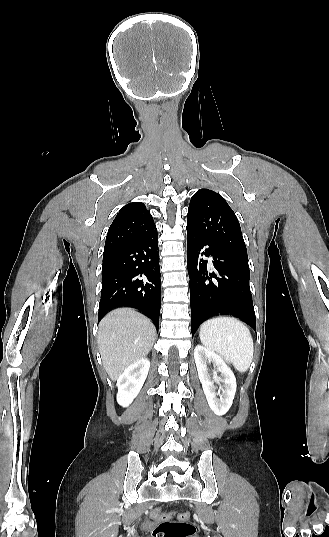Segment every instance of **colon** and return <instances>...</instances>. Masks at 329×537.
Wrapping results in <instances>:
<instances>
[{
    "label": "colon",
    "mask_w": 329,
    "mask_h": 537,
    "mask_svg": "<svg viewBox=\"0 0 329 537\" xmlns=\"http://www.w3.org/2000/svg\"><path fill=\"white\" fill-rule=\"evenodd\" d=\"M151 516L155 520H162L154 529L153 537H193L196 533L188 511L178 512L176 521L172 520L174 513L167 509H155Z\"/></svg>",
    "instance_id": "colon-1"
}]
</instances>
